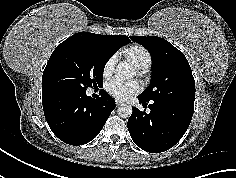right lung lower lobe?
I'll use <instances>...</instances> for the list:
<instances>
[{
    "instance_id": "98d812e1",
    "label": "right lung lower lobe",
    "mask_w": 236,
    "mask_h": 178,
    "mask_svg": "<svg viewBox=\"0 0 236 178\" xmlns=\"http://www.w3.org/2000/svg\"><path fill=\"white\" fill-rule=\"evenodd\" d=\"M94 99L85 92H42L44 115L52 132L70 145L92 141L115 108L114 99L104 90Z\"/></svg>"
}]
</instances>
